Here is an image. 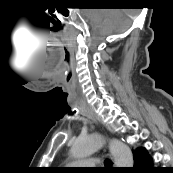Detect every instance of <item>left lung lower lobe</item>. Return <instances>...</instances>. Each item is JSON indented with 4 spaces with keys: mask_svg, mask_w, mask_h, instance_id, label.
<instances>
[{
    "mask_svg": "<svg viewBox=\"0 0 173 173\" xmlns=\"http://www.w3.org/2000/svg\"><path fill=\"white\" fill-rule=\"evenodd\" d=\"M135 167L131 168V173H148L152 169V158L147 151L140 147L134 153Z\"/></svg>",
    "mask_w": 173,
    "mask_h": 173,
    "instance_id": "obj_1",
    "label": "left lung lower lobe"
}]
</instances>
